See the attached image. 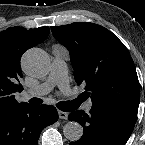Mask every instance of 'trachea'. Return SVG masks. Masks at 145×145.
I'll use <instances>...</instances> for the list:
<instances>
[{
  "mask_svg": "<svg viewBox=\"0 0 145 145\" xmlns=\"http://www.w3.org/2000/svg\"><path fill=\"white\" fill-rule=\"evenodd\" d=\"M31 104L38 105L43 102L42 99L40 98H31L29 100ZM57 108L64 112H70L78 108L79 106V101L78 100H73V101H65V102H59L56 104Z\"/></svg>",
  "mask_w": 145,
  "mask_h": 145,
  "instance_id": "1",
  "label": "trachea"
}]
</instances>
